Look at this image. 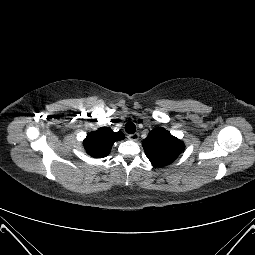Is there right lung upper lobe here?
Returning <instances> with one entry per match:
<instances>
[{
  "label": "right lung upper lobe",
  "instance_id": "cb5924a9",
  "mask_svg": "<svg viewBox=\"0 0 255 255\" xmlns=\"http://www.w3.org/2000/svg\"><path fill=\"white\" fill-rule=\"evenodd\" d=\"M122 139L124 134L121 131L113 132L109 127H102L89 133L83 144L90 156L104 158L110 153L113 143Z\"/></svg>",
  "mask_w": 255,
  "mask_h": 255
}]
</instances>
